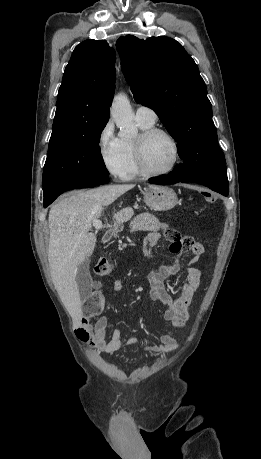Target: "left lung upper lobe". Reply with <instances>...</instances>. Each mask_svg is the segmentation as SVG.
<instances>
[{
  "instance_id": "obj_1",
  "label": "left lung upper lobe",
  "mask_w": 261,
  "mask_h": 459,
  "mask_svg": "<svg viewBox=\"0 0 261 459\" xmlns=\"http://www.w3.org/2000/svg\"><path fill=\"white\" fill-rule=\"evenodd\" d=\"M116 48L134 100L153 109L178 143L185 176L206 169H226L217 142L212 106L194 60L174 39L121 37Z\"/></svg>"
}]
</instances>
